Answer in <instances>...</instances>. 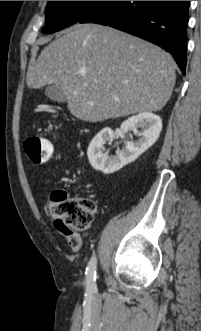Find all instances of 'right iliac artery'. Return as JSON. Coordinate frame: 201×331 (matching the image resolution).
I'll list each match as a JSON object with an SVG mask.
<instances>
[{
	"label": "right iliac artery",
	"instance_id": "obj_1",
	"mask_svg": "<svg viewBox=\"0 0 201 331\" xmlns=\"http://www.w3.org/2000/svg\"><path fill=\"white\" fill-rule=\"evenodd\" d=\"M96 264H97L96 256L93 255L86 268L87 288L90 291L96 290Z\"/></svg>",
	"mask_w": 201,
	"mask_h": 331
}]
</instances>
